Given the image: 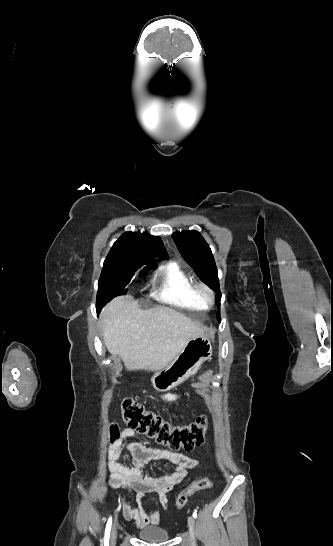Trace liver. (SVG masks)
Instances as JSON below:
<instances>
[{
    "mask_svg": "<svg viewBox=\"0 0 333 546\" xmlns=\"http://www.w3.org/2000/svg\"><path fill=\"white\" fill-rule=\"evenodd\" d=\"M108 351L127 370L156 371L167 366L204 327L169 307L140 309L130 295L114 298L100 314Z\"/></svg>",
    "mask_w": 333,
    "mask_h": 546,
    "instance_id": "liver-1",
    "label": "liver"
}]
</instances>
